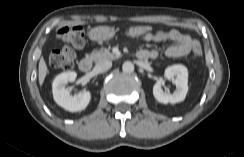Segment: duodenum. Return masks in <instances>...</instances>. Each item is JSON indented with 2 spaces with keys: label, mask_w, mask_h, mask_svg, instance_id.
<instances>
[{
  "label": "duodenum",
  "mask_w": 244,
  "mask_h": 157,
  "mask_svg": "<svg viewBox=\"0 0 244 157\" xmlns=\"http://www.w3.org/2000/svg\"><path fill=\"white\" fill-rule=\"evenodd\" d=\"M79 68L82 72H89L92 68V58L84 57L79 61Z\"/></svg>",
  "instance_id": "obj_1"
}]
</instances>
